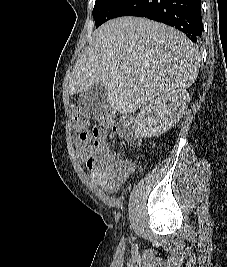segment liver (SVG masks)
I'll list each match as a JSON object with an SVG mask.
<instances>
[{"mask_svg":"<svg viewBox=\"0 0 227 267\" xmlns=\"http://www.w3.org/2000/svg\"><path fill=\"white\" fill-rule=\"evenodd\" d=\"M199 60V52L177 29L145 18L113 19L93 33L69 75L68 90L74 95L103 84L110 107L129 114L157 96L189 88Z\"/></svg>","mask_w":227,"mask_h":267,"instance_id":"liver-1","label":"liver"}]
</instances>
